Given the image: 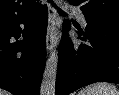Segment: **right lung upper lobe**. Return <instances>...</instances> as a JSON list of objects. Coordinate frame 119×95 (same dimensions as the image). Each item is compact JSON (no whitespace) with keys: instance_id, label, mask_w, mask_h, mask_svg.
<instances>
[{"instance_id":"right-lung-upper-lobe-1","label":"right lung upper lobe","mask_w":119,"mask_h":95,"mask_svg":"<svg viewBox=\"0 0 119 95\" xmlns=\"http://www.w3.org/2000/svg\"><path fill=\"white\" fill-rule=\"evenodd\" d=\"M40 6L36 0H0V29L29 18Z\"/></svg>"}]
</instances>
